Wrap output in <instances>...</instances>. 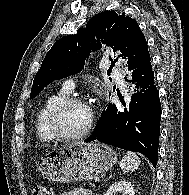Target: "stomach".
<instances>
[{
  "label": "stomach",
  "instance_id": "obj_1",
  "mask_svg": "<svg viewBox=\"0 0 189 195\" xmlns=\"http://www.w3.org/2000/svg\"><path fill=\"white\" fill-rule=\"evenodd\" d=\"M116 162L117 154L111 147L95 142L47 151L38 170L52 182L87 181L110 169Z\"/></svg>",
  "mask_w": 189,
  "mask_h": 195
}]
</instances>
